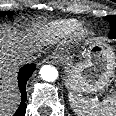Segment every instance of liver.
Returning <instances> with one entry per match:
<instances>
[{"label": "liver", "mask_w": 116, "mask_h": 116, "mask_svg": "<svg viewBox=\"0 0 116 116\" xmlns=\"http://www.w3.org/2000/svg\"><path fill=\"white\" fill-rule=\"evenodd\" d=\"M24 51L32 52L31 45L24 38L14 34L2 36L0 31V116H8L18 104L13 80L17 70V58Z\"/></svg>", "instance_id": "obj_1"}]
</instances>
